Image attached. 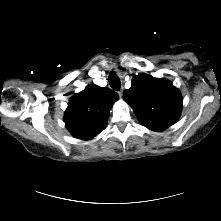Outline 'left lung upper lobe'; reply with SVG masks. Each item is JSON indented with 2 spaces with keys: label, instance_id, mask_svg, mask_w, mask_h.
<instances>
[{
  "label": "left lung upper lobe",
  "instance_id": "obj_1",
  "mask_svg": "<svg viewBox=\"0 0 221 221\" xmlns=\"http://www.w3.org/2000/svg\"><path fill=\"white\" fill-rule=\"evenodd\" d=\"M139 121L152 131H162L174 124L181 113L182 97L166 79L139 74L130 89L123 92Z\"/></svg>",
  "mask_w": 221,
  "mask_h": 221
}]
</instances>
